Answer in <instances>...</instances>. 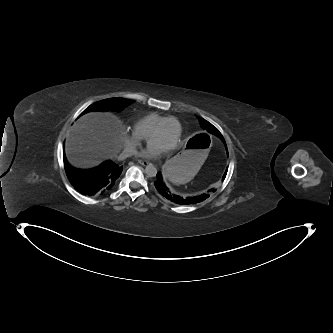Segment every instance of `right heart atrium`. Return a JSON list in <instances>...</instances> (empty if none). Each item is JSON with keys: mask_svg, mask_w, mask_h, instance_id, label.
I'll return each mask as SVG.
<instances>
[{"mask_svg": "<svg viewBox=\"0 0 333 333\" xmlns=\"http://www.w3.org/2000/svg\"><path fill=\"white\" fill-rule=\"evenodd\" d=\"M143 138L140 137L135 131L128 134L126 137V149L130 153H134L136 148L142 143Z\"/></svg>", "mask_w": 333, "mask_h": 333, "instance_id": "d8ad5b80", "label": "right heart atrium"}]
</instances>
